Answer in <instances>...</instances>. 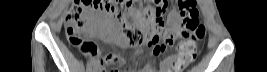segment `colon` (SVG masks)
<instances>
[{"label": "colon", "instance_id": "colon-1", "mask_svg": "<svg viewBox=\"0 0 267 72\" xmlns=\"http://www.w3.org/2000/svg\"><path fill=\"white\" fill-rule=\"evenodd\" d=\"M132 0H75L65 14L66 35L69 42L80 49L88 52L90 43L84 38V33L89 27L87 13L106 15L111 28L117 35L124 37L131 45H140L143 42L154 49V53L160 54L168 46L174 43V35L170 29L164 26L163 17L168 9L169 1H158L155 5L144 9L142 17L146 24L142 28L128 25L125 22V12L129 11L126 6H131ZM179 9L182 17L185 40L179 45V52L174 63V71L180 72L197 57V45L204 38L205 29L198 19V10L195 1L180 0ZM121 29V32H119ZM106 64H114L115 60L109 56L103 58ZM110 71L118 72L114 67Z\"/></svg>", "mask_w": 267, "mask_h": 72}]
</instances>
